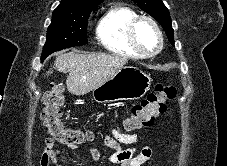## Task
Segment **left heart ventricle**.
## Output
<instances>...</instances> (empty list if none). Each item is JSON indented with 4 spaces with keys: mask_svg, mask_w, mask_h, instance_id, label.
Masks as SVG:
<instances>
[{
    "mask_svg": "<svg viewBox=\"0 0 227 166\" xmlns=\"http://www.w3.org/2000/svg\"><path fill=\"white\" fill-rule=\"evenodd\" d=\"M136 39L145 52L154 51L158 46V37L153 27L146 21L140 22L136 28Z\"/></svg>",
    "mask_w": 227,
    "mask_h": 166,
    "instance_id": "obj_1",
    "label": "left heart ventricle"
}]
</instances>
